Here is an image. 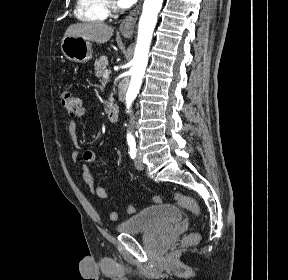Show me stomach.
I'll use <instances>...</instances> for the list:
<instances>
[{"instance_id":"1","label":"stomach","mask_w":288,"mask_h":280,"mask_svg":"<svg viewBox=\"0 0 288 280\" xmlns=\"http://www.w3.org/2000/svg\"><path fill=\"white\" fill-rule=\"evenodd\" d=\"M64 56L75 63H85L92 58V47L88 40L81 37H64L61 41Z\"/></svg>"}]
</instances>
